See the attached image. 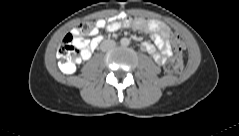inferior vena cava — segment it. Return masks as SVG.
Here are the masks:
<instances>
[{"label": "inferior vena cava", "mask_w": 239, "mask_h": 136, "mask_svg": "<svg viewBox=\"0 0 239 136\" xmlns=\"http://www.w3.org/2000/svg\"><path fill=\"white\" fill-rule=\"evenodd\" d=\"M115 45H116V43L113 40H104L101 43L100 48H101V50L106 51V50L114 47Z\"/></svg>", "instance_id": "inferior-vena-cava-1"}]
</instances>
